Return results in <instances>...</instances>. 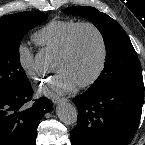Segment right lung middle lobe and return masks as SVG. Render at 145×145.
Returning <instances> with one entry per match:
<instances>
[{
	"instance_id": "1",
	"label": "right lung middle lobe",
	"mask_w": 145,
	"mask_h": 145,
	"mask_svg": "<svg viewBox=\"0 0 145 145\" xmlns=\"http://www.w3.org/2000/svg\"><path fill=\"white\" fill-rule=\"evenodd\" d=\"M47 18L42 12H21L0 17V92L18 91L29 83L20 64V42L29 30Z\"/></svg>"
}]
</instances>
